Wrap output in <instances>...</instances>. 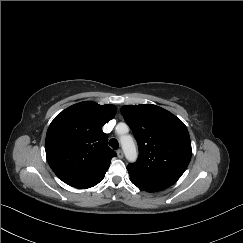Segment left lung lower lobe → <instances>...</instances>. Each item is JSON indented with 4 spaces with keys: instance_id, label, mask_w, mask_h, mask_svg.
<instances>
[{
    "instance_id": "left-lung-lower-lobe-1",
    "label": "left lung lower lobe",
    "mask_w": 243,
    "mask_h": 243,
    "mask_svg": "<svg viewBox=\"0 0 243 243\" xmlns=\"http://www.w3.org/2000/svg\"><path fill=\"white\" fill-rule=\"evenodd\" d=\"M180 176L169 175L162 176L150 180H135L130 179L131 182L136 185L138 188L147 191V192H157L168 188L173 185Z\"/></svg>"
}]
</instances>
